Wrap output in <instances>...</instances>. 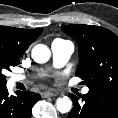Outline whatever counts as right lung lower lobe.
<instances>
[{
	"mask_svg": "<svg viewBox=\"0 0 118 118\" xmlns=\"http://www.w3.org/2000/svg\"><path fill=\"white\" fill-rule=\"evenodd\" d=\"M40 98L30 91L9 95L6 86L0 87V118H31L32 108Z\"/></svg>",
	"mask_w": 118,
	"mask_h": 118,
	"instance_id": "right-lung-lower-lobe-1",
	"label": "right lung lower lobe"
}]
</instances>
